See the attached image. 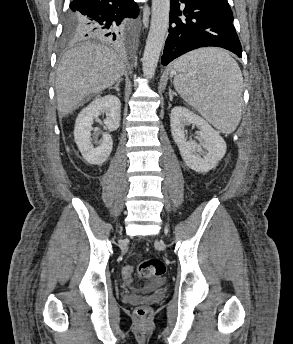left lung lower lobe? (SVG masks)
Masks as SVG:
<instances>
[{
  "label": "left lung lower lobe",
  "instance_id": "obj_1",
  "mask_svg": "<svg viewBox=\"0 0 293 344\" xmlns=\"http://www.w3.org/2000/svg\"><path fill=\"white\" fill-rule=\"evenodd\" d=\"M185 4L181 10L179 0H171L170 26L162 64L191 50L217 46L242 57V48L233 25V14L223 0H180ZM185 15L186 19L179 16Z\"/></svg>",
  "mask_w": 293,
  "mask_h": 344
}]
</instances>
